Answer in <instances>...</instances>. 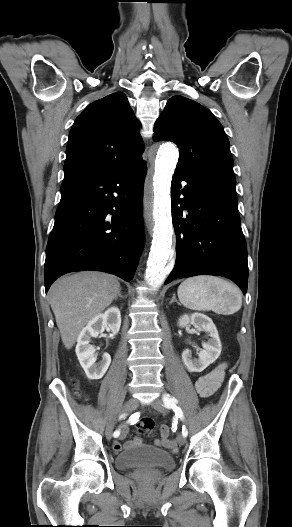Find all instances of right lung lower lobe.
I'll return each instance as SVG.
<instances>
[{"instance_id": "98d812e1", "label": "right lung lower lobe", "mask_w": 292, "mask_h": 527, "mask_svg": "<svg viewBox=\"0 0 292 527\" xmlns=\"http://www.w3.org/2000/svg\"><path fill=\"white\" fill-rule=\"evenodd\" d=\"M146 166L64 177L45 261V291L61 275L82 270L133 278L144 245Z\"/></svg>"}]
</instances>
